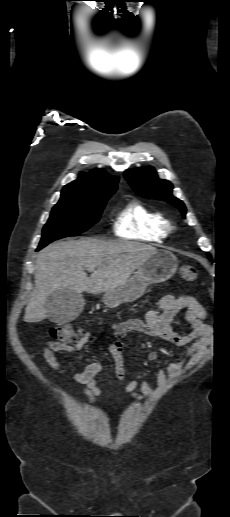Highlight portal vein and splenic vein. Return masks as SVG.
<instances>
[{"mask_svg":"<svg viewBox=\"0 0 230 517\" xmlns=\"http://www.w3.org/2000/svg\"><path fill=\"white\" fill-rule=\"evenodd\" d=\"M86 269H87L88 271H94V270H95V267H94V266H88Z\"/></svg>","mask_w":230,"mask_h":517,"instance_id":"18ae733b","label":"portal vein and splenic vein"}]
</instances>
